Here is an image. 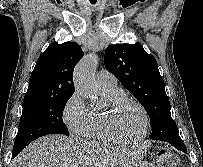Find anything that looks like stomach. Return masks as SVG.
Masks as SVG:
<instances>
[{"mask_svg": "<svg viewBox=\"0 0 203 167\" xmlns=\"http://www.w3.org/2000/svg\"><path fill=\"white\" fill-rule=\"evenodd\" d=\"M132 167H153L151 164L145 161H138L135 164H133Z\"/></svg>", "mask_w": 203, "mask_h": 167, "instance_id": "stomach-1", "label": "stomach"}]
</instances>
